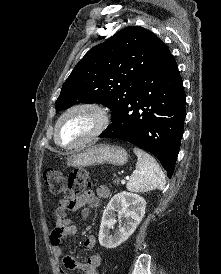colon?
<instances>
[{"mask_svg":"<svg viewBox=\"0 0 221 274\" xmlns=\"http://www.w3.org/2000/svg\"><path fill=\"white\" fill-rule=\"evenodd\" d=\"M43 178L51 193L63 194L68 201L77 199L89 184L88 176L83 171L65 176L57 169L47 168L44 170Z\"/></svg>","mask_w":221,"mask_h":274,"instance_id":"1","label":"colon"}]
</instances>
